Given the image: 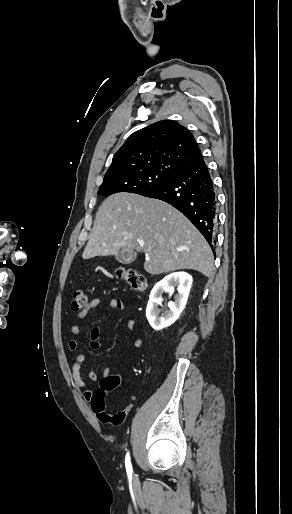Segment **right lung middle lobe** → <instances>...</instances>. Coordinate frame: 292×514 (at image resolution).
Masks as SVG:
<instances>
[{
    "label": "right lung middle lobe",
    "instance_id": "right-lung-middle-lobe-1",
    "mask_svg": "<svg viewBox=\"0 0 292 514\" xmlns=\"http://www.w3.org/2000/svg\"><path fill=\"white\" fill-rule=\"evenodd\" d=\"M171 176L168 172H144L104 178L98 194L107 196L118 192H130L143 195Z\"/></svg>",
    "mask_w": 292,
    "mask_h": 514
}]
</instances>
